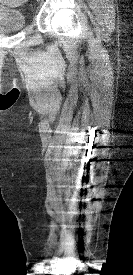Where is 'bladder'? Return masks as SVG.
<instances>
[{
	"mask_svg": "<svg viewBox=\"0 0 133 275\" xmlns=\"http://www.w3.org/2000/svg\"><path fill=\"white\" fill-rule=\"evenodd\" d=\"M27 25L26 14L18 8L0 4V32H13Z\"/></svg>",
	"mask_w": 133,
	"mask_h": 275,
	"instance_id": "1",
	"label": "bladder"
}]
</instances>
